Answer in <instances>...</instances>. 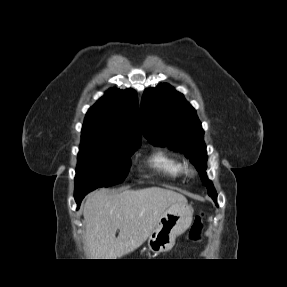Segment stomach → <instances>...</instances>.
I'll use <instances>...</instances> for the list:
<instances>
[{"mask_svg": "<svg viewBox=\"0 0 287 287\" xmlns=\"http://www.w3.org/2000/svg\"><path fill=\"white\" fill-rule=\"evenodd\" d=\"M192 216L193 208L187 201L169 206L147 238L149 250L154 253L169 251L174 246L176 237L189 228Z\"/></svg>", "mask_w": 287, "mask_h": 287, "instance_id": "1", "label": "stomach"}]
</instances>
